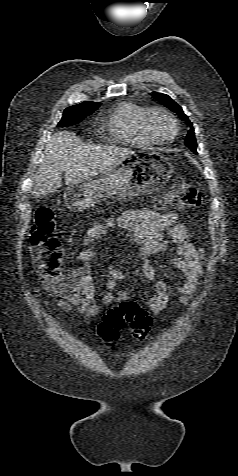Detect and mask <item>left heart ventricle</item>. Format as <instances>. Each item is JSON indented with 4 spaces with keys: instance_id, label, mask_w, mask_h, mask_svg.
<instances>
[{
    "instance_id": "obj_1",
    "label": "left heart ventricle",
    "mask_w": 238,
    "mask_h": 476,
    "mask_svg": "<svg viewBox=\"0 0 238 476\" xmlns=\"http://www.w3.org/2000/svg\"><path fill=\"white\" fill-rule=\"evenodd\" d=\"M151 128L154 134L162 140L169 139L173 134V124L162 113H156L151 117Z\"/></svg>"
}]
</instances>
